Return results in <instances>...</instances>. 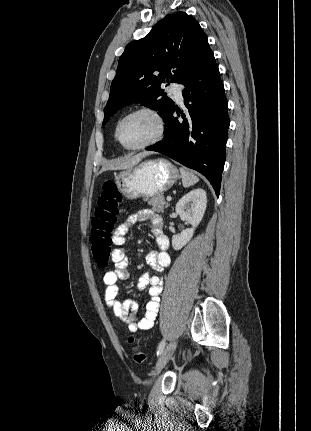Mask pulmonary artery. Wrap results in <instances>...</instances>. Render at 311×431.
Returning a JSON list of instances; mask_svg holds the SVG:
<instances>
[{"label":"pulmonary artery","mask_w":311,"mask_h":431,"mask_svg":"<svg viewBox=\"0 0 311 431\" xmlns=\"http://www.w3.org/2000/svg\"><path fill=\"white\" fill-rule=\"evenodd\" d=\"M169 91L175 96L178 102L183 100L182 86L176 82H173L169 86Z\"/></svg>","instance_id":"e3ab8cb5"}]
</instances>
